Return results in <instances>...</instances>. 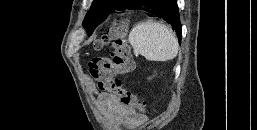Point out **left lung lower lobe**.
<instances>
[{"instance_id": "0a47b994", "label": "left lung lower lobe", "mask_w": 257, "mask_h": 130, "mask_svg": "<svg viewBox=\"0 0 257 130\" xmlns=\"http://www.w3.org/2000/svg\"><path fill=\"white\" fill-rule=\"evenodd\" d=\"M125 9L144 10L150 16L159 17L171 23L178 34L179 42L181 41L182 32L176 0H128L122 7L118 8V10Z\"/></svg>"}]
</instances>
